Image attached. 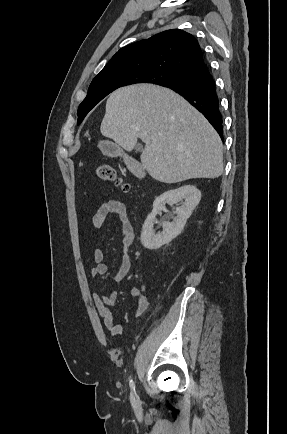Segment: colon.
<instances>
[{
  "mask_svg": "<svg viewBox=\"0 0 287 434\" xmlns=\"http://www.w3.org/2000/svg\"><path fill=\"white\" fill-rule=\"evenodd\" d=\"M97 177L104 182H113L123 188V190H128L129 186L122 181L118 176L115 168L108 163L101 164L96 168Z\"/></svg>",
  "mask_w": 287,
  "mask_h": 434,
  "instance_id": "5ec220e1",
  "label": "colon"
}]
</instances>
